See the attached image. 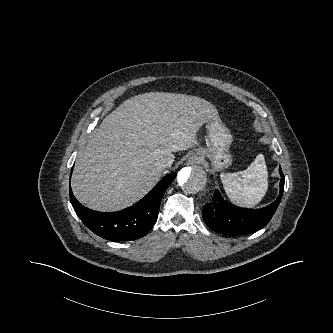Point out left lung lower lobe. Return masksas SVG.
<instances>
[{"instance_id": "1", "label": "left lung lower lobe", "mask_w": 333, "mask_h": 333, "mask_svg": "<svg viewBox=\"0 0 333 333\" xmlns=\"http://www.w3.org/2000/svg\"><path fill=\"white\" fill-rule=\"evenodd\" d=\"M281 175L280 194L276 201L261 209H245L234 206L223 200L218 190L213 201L203 208L202 216L205 223L215 232L227 235H243L265 227L274 215L283 195L284 175Z\"/></svg>"}]
</instances>
